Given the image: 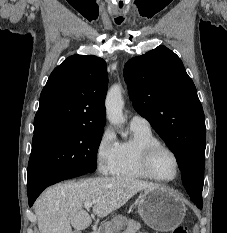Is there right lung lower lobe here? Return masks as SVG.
Returning a JSON list of instances; mask_svg holds the SVG:
<instances>
[{"label":"right lung lower lobe","instance_id":"obj_1","mask_svg":"<svg viewBox=\"0 0 227 233\" xmlns=\"http://www.w3.org/2000/svg\"><path fill=\"white\" fill-rule=\"evenodd\" d=\"M85 173L82 172H69V173H60L56 175H50L43 178H40L34 184L27 186L28 188V199L29 206H32L36 198L40 195V193L48 186L55 184L57 182L74 178L77 176H81Z\"/></svg>","mask_w":227,"mask_h":233}]
</instances>
